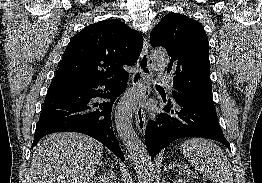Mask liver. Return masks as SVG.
<instances>
[{
	"instance_id": "liver-1",
	"label": "liver",
	"mask_w": 262,
	"mask_h": 183,
	"mask_svg": "<svg viewBox=\"0 0 262 183\" xmlns=\"http://www.w3.org/2000/svg\"><path fill=\"white\" fill-rule=\"evenodd\" d=\"M102 153L103 145L89 136L54 133L35 147L28 183H88Z\"/></svg>"
}]
</instances>
